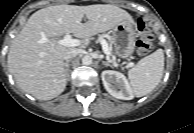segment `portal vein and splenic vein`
<instances>
[{
	"mask_svg": "<svg viewBox=\"0 0 194 133\" xmlns=\"http://www.w3.org/2000/svg\"><path fill=\"white\" fill-rule=\"evenodd\" d=\"M42 41H45V38H43ZM59 43L67 47H73L78 46L80 44V41L77 39H72L70 34H66L64 38L59 41ZM100 43L102 45L103 52L106 55H110L108 43L106 42V40L102 39Z\"/></svg>",
	"mask_w": 194,
	"mask_h": 133,
	"instance_id": "1",
	"label": "portal vein and splenic vein"
}]
</instances>
